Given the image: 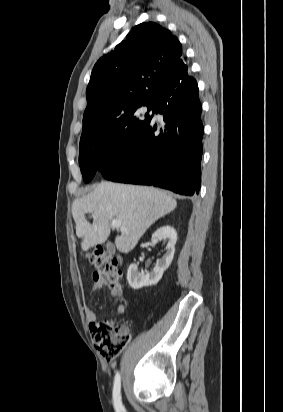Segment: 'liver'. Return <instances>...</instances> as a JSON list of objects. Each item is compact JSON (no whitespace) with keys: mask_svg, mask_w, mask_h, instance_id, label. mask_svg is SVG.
<instances>
[{"mask_svg":"<svg viewBox=\"0 0 283 412\" xmlns=\"http://www.w3.org/2000/svg\"><path fill=\"white\" fill-rule=\"evenodd\" d=\"M176 206L171 195L153 187L101 182L92 192L74 200L72 216L83 251L103 244L110 235V221L116 219L125 231L116 236L115 245L120 252L128 253L152 224ZM86 213L92 214V224Z\"/></svg>","mask_w":283,"mask_h":412,"instance_id":"6515ba94","label":"liver"}]
</instances>
